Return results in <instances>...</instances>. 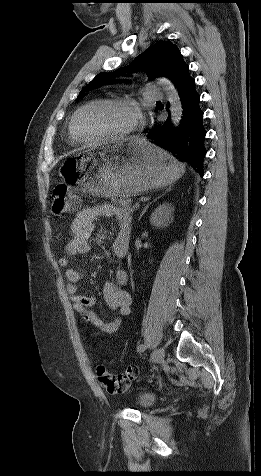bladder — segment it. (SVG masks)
<instances>
[{"label": "bladder", "instance_id": "obj_1", "mask_svg": "<svg viewBox=\"0 0 261 476\" xmlns=\"http://www.w3.org/2000/svg\"><path fill=\"white\" fill-rule=\"evenodd\" d=\"M155 401L156 396L153 393L145 392L139 395L137 403L141 409H147L153 406Z\"/></svg>", "mask_w": 261, "mask_h": 476}]
</instances>
